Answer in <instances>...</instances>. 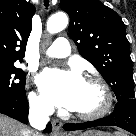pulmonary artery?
Returning <instances> with one entry per match:
<instances>
[{
  "label": "pulmonary artery",
  "instance_id": "obj_1",
  "mask_svg": "<svg viewBox=\"0 0 136 136\" xmlns=\"http://www.w3.org/2000/svg\"><path fill=\"white\" fill-rule=\"evenodd\" d=\"M70 54V44L66 38H57L53 44L46 50L49 57L63 58Z\"/></svg>",
  "mask_w": 136,
  "mask_h": 136
}]
</instances>
